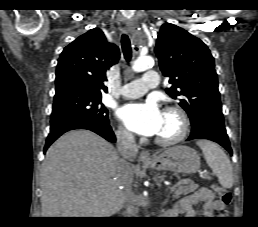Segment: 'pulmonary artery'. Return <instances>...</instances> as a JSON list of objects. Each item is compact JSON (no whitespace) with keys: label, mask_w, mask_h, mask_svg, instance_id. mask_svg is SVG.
I'll list each match as a JSON object with an SVG mask.
<instances>
[{"label":"pulmonary artery","mask_w":258,"mask_h":227,"mask_svg":"<svg viewBox=\"0 0 258 227\" xmlns=\"http://www.w3.org/2000/svg\"><path fill=\"white\" fill-rule=\"evenodd\" d=\"M159 83L156 71L146 72L141 79L133 80L125 84L120 94L127 99L138 98L144 95L149 89L155 88Z\"/></svg>","instance_id":"1"}]
</instances>
